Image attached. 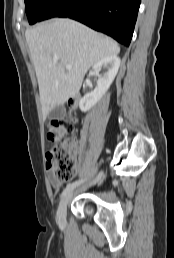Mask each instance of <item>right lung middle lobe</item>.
Instances as JSON below:
<instances>
[{
	"mask_svg": "<svg viewBox=\"0 0 174 258\" xmlns=\"http://www.w3.org/2000/svg\"><path fill=\"white\" fill-rule=\"evenodd\" d=\"M53 0H25V10L29 24H34L43 19L46 9Z\"/></svg>",
	"mask_w": 174,
	"mask_h": 258,
	"instance_id": "right-lung-middle-lobe-1",
	"label": "right lung middle lobe"
}]
</instances>
